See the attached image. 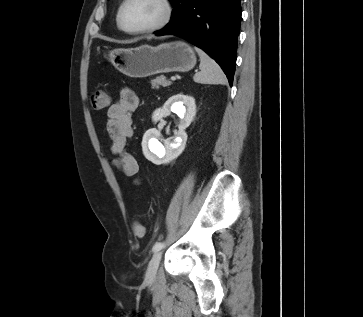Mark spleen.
Segmentation results:
<instances>
[{"instance_id": "3e777b00", "label": "spleen", "mask_w": 363, "mask_h": 317, "mask_svg": "<svg viewBox=\"0 0 363 317\" xmlns=\"http://www.w3.org/2000/svg\"><path fill=\"white\" fill-rule=\"evenodd\" d=\"M200 57V72L196 73L193 80L201 84H226L227 78L221 67L208 54L195 47Z\"/></svg>"}]
</instances>
